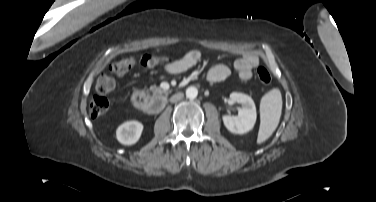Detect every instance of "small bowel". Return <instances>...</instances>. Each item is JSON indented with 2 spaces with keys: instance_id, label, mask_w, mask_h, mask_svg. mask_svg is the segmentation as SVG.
I'll list each match as a JSON object with an SVG mask.
<instances>
[{
  "instance_id": "obj_1",
  "label": "small bowel",
  "mask_w": 376,
  "mask_h": 202,
  "mask_svg": "<svg viewBox=\"0 0 376 202\" xmlns=\"http://www.w3.org/2000/svg\"><path fill=\"white\" fill-rule=\"evenodd\" d=\"M201 60V52L197 49L189 50L185 55L175 61L167 63L164 66L165 72L171 75L183 73ZM260 58L254 52H244L234 62V69L242 80H249L252 76V70L259 64ZM231 73L228 65L218 63L209 67L205 72V78L208 82L216 83L226 79Z\"/></svg>"
}]
</instances>
